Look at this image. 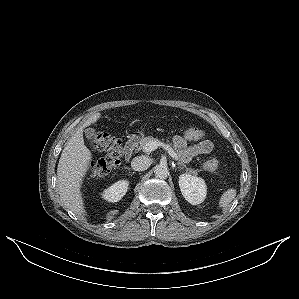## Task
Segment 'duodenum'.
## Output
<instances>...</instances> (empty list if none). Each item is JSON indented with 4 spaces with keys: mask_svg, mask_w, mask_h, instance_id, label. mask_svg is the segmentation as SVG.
<instances>
[{
    "mask_svg": "<svg viewBox=\"0 0 299 299\" xmlns=\"http://www.w3.org/2000/svg\"><path fill=\"white\" fill-rule=\"evenodd\" d=\"M136 143H137V141L135 138H130L125 143L124 156L127 161L131 159L134 149H135V146H136Z\"/></svg>",
    "mask_w": 299,
    "mask_h": 299,
    "instance_id": "410a0bca",
    "label": "duodenum"
}]
</instances>
